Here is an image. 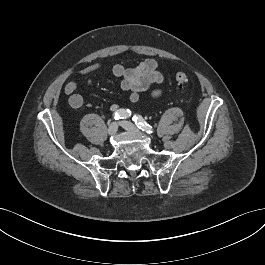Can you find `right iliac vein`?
Listing matches in <instances>:
<instances>
[{
	"mask_svg": "<svg viewBox=\"0 0 265 265\" xmlns=\"http://www.w3.org/2000/svg\"><path fill=\"white\" fill-rule=\"evenodd\" d=\"M118 130V124L116 122H113L108 127V134L114 135Z\"/></svg>",
	"mask_w": 265,
	"mask_h": 265,
	"instance_id": "1",
	"label": "right iliac vein"
}]
</instances>
